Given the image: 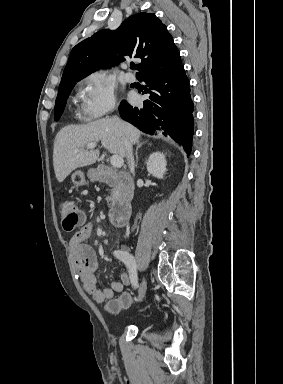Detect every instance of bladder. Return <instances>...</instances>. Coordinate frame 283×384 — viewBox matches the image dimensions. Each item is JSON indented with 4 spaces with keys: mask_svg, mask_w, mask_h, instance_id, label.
Instances as JSON below:
<instances>
[{
    "mask_svg": "<svg viewBox=\"0 0 283 384\" xmlns=\"http://www.w3.org/2000/svg\"><path fill=\"white\" fill-rule=\"evenodd\" d=\"M146 319H147L146 315H142L141 317H138V318H130L127 321V326H133L134 324H137L138 321L140 320L146 321Z\"/></svg>",
    "mask_w": 283,
    "mask_h": 384,
    "instance_id": "31cf9c89",
    "label": "bladder"
}]
</instances>
